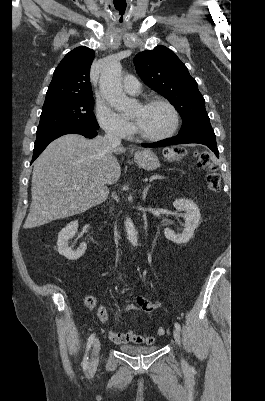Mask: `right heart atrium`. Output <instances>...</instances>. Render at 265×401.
Instances as JSON below:
<instances>
[{"instance_id": "obj_1", "label": "right heart atrium", "mask_w": 265, "mask_h": 401, "mask_svg": "<svg viewBox=\"0 0 265 401\" xmlns=\"http://www.w3.org/2000/svg\"><path fill=\"white\" fill-rule=\"evenodd\" d=\"M96 119L100 128L112 138L130 137L134 128L130 122L124 120L106 102H99L96 105Z\"/></svg>"}]
</instances>
